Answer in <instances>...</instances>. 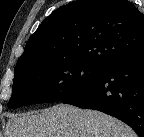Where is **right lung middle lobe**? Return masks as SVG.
Instances as JSON below:
<instances>
[{
    "instance_id": "1",
    "label": "right lung middle lobe",
    "mask_w": 144,
    "mask_h": 137,
    "mask_svg": "<svg viewBox=\"0 0 144 137\" xmlns=\"http://www.w3.org/2000/svg\"><path fill=\"white\" fill-rule=\"evenodd\" d=\"M105 67L79 59L33 63L16 67L11 109L32 103L63 101L101 77Z\"/></svg>"
}]
</instances>
